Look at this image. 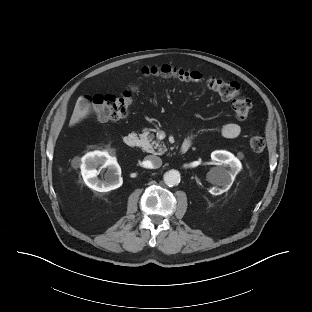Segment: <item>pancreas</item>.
I'll return each mask as SVG.
<instances>
[{
  "label": "pancreas",
  "mask_w": 312,
  "mask_h": 312,
  "mask_svg": "<svg viewBox=\"0 0 312 312\" xmlns=\"http://www.w3.org/2000/svg\"><path fill=\"white\" fill-rule=\"evenodd\" d=\"M140 136V145L143 150L148 153L162 155L167 151V148L159 140H153L154 135L150 134L148 130H144Z\"/></svg>",
  "instance_id": "1"
}]
</instances>
